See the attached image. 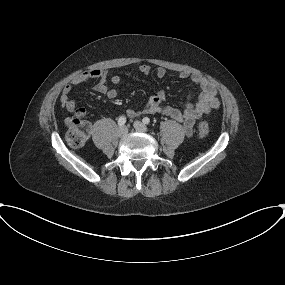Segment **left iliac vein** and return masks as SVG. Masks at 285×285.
<instances>
[{"label": "left iliac vein", "mask_w": 285, "mask_h": 285, "mask_svg": "<svg viewBox=\"0 0 285 285\" xmlns=\"http://www.w3.org/2000/svg\"><path fill=\"white\" fill-rule=\"evenodd\" d=\"M133 125H134V128L136 129V131H138V132H146L147 131L146 125H144L140 121H135Z\"/></svg>", "instance_id": "obj_1"}]
</instances>
